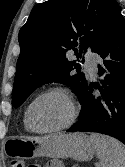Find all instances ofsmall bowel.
<instances>
[{
  "mask_svg": "<svg viewBox=\"0 0 125 167\" xmlns=\"http://www.w3.org/2000/svg\"><path fill=\"white\" fill-rule=\"evenodd\" d=\"M57 163H58L57 161L52 160L49 161L45 166H40V167H58Z\"/></svg>",
  "mask_w": 125,
  "mask_h": 167,
  "instance_id": "1",
  "label": "small bowel"
}]
</instances>
